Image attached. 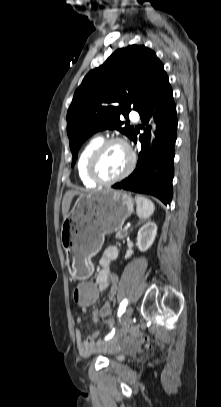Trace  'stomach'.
Masks as SVG:
<instances>
[{
  "label": "stomach",
  "instance_id": "obj_1",
  "mask_svg": "<svg viewBox=\"0 0 221 407\" xmlns=\"http://www.w3.org/2000/svg\"><path fill=\"white\" fill-rule=\"evenodd\" d=\"M134 211L132 197L117 190L81 195L61 227V242L73 278L89 277L91 258L101 249L105 235L118 231Z\"/></svg>",
  "mask_w": 221,
  "mask_h": 407
}]
</instances>
